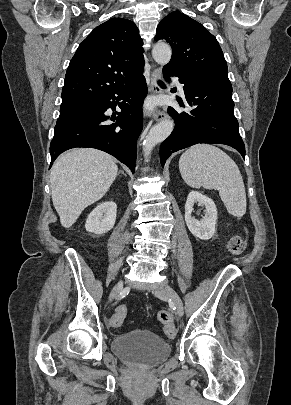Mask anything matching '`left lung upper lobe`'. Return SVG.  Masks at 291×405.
Wrapping results in <instances>:
<instances>
[{
	"instance_id": "1",
	"label": "left lung upper lobe",
	"mask_w": 291,
	"mask_h": 405,
	"mask_svg": "<svg viewBox=\"0 0 291 405\" xmlns=\"http://www.w3.org/2000/svg\"><path fill=\"white\" fill-rule=\"evenodd\" d=\"M164 39L172 47V58L164 68L188 77L226 80L227 63L216 38L203 25L180 11H173L157 27L155 41Z\"/></svg>"
}]
</instances>
